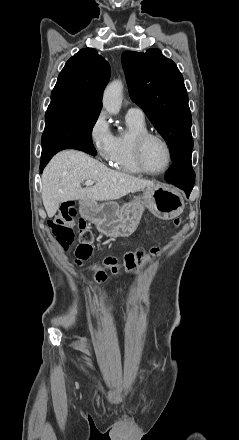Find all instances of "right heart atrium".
<instances>
[{"mask_svg":"<svg viewBox=\"0 0 239 440\" xmlns=\"http://www.w3.org/2000/svg\"><path fill=\"white\" fill-rule=\"evenodd\" d=\"M87 136L98 157L104 161H111L116 150V136L112 133L103 111L99 112L89 125Z\"/></svg>","mask_w":239,"mask_h":440,"instance_id":"obj_1","label":"right heart atrium"}]
</instances>
